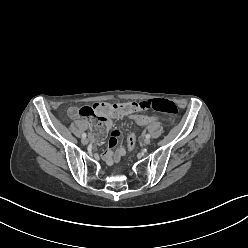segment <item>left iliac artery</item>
Wrapping results in <instances>:
<instances>
[{
  "mask_svg": "<svg viewBox=\"0 0 248 248\" xmlns=\"http://www.w3.org/2000/svg\"><path fill=\"white\" fill-rule=\"evenodd\" d=\"M150 137H151V136H150V134H146V138H148V139H149Z\"/></svg>",
  "mask_w": 248,
  "mask_h": 248,
  "instance_id": "left-iliac-artery-1",
  "label": "left iliac artery"
}]
</instances>
